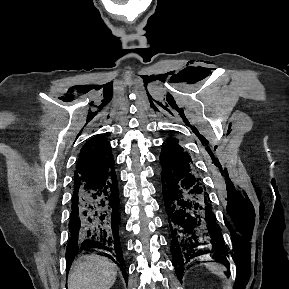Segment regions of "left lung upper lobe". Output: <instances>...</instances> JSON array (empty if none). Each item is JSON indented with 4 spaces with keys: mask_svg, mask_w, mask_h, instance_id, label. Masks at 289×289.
Segmentation results:
<instances>
[{
    "mask_svg": "<svg viewBox=\"0 0 289 289\" xmlns=\"http://www.w3.org/2000/svg\"><path fill=\"white\" fill-rule=\"evenodd\" d=\"M162 146V150L168 149L176 153H181L191 160L189 154L184 152L183 148L178 144V141L173 138H170L168 142H166V144H162Z\"/></svg>",
    "mask_w": 289,
    "mask_h": 289,
    "instance_id": "left-lung-upper-lobe-1",
    "label": "left lung upper lobe"
}]
</instances>
